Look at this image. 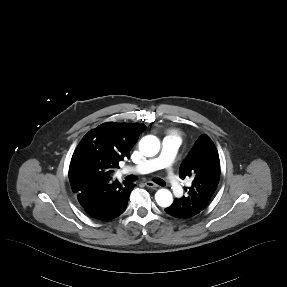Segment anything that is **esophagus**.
<instances>
[{"instance_id": "obj_1", "label": "esophagus", "mask_w": 287, "mask_h": 287, "mask_svg": "<svg viewBox=\"0 0 287 287\" xmlns=\"http://www.w3.org/2000/svg\"><path fill=\"white\" fill-rule=\"evenodd\" d=\"M145 185L149 188H152V189H157L158 188V185H156L155 183H153L152 181H146L145 182Z\"/></svg>"}]
</instances>
